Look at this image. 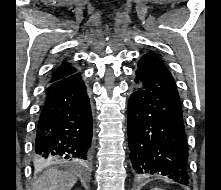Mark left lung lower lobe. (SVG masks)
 I'll return each mask as SVG.
<instances>
[{"label": "left lung lower lobe", "instance_id": "1", "mask_svg": "<svg viewBox=\"0 0 221 190\" xmlns=\"http://www.w3.org/2000/svg\"><path fill=\"white\" fill-rule=\"evenodd\" d=\"M133 169L188 185V146L176 83L163 62L144 55L128 101Z\"/></svg>", "mask_w": 221, "mask_h": 190}]
</instances>
